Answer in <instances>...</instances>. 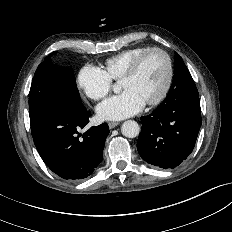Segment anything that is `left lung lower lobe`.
I'll return each mask as SVG.
<instances>
[{
	"mask_svg": "<svg viewBox=\"0 0 232 232\" xmlns=\"http://www.w3.org/2000/svg\"><path fill=\"white\" fill-rule=\"evenodd\" d=\"M137 149L147 163L175 168L192 152L201 127L198 96H167L151 114L140 118Z\"/></svg>",
	"mask_w": 232,
	"mask_h": 232,
	"instance_id": "0a47b994",
	"label": "left lung lower lobe"
}]
</instances>
